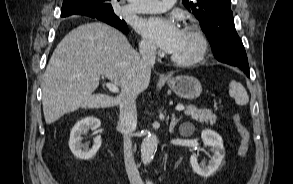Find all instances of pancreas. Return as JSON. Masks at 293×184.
<instances>
[{"instance_id":"obj_1","label":"pancreas","mask_w":293,"mask_h":184,"mask_svg":"<svg viewBox=\"0 0 293 184\" xmlns=\"http://www.w3.org/2000/svg\"><path fill=\"white\" fill-rule=\"evenodd\" d=\"M184 113L200 123L214 124L217 120L216 115L210 109H198L194 105L186 106Z\"/></svg>"}]
</instances>
